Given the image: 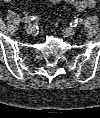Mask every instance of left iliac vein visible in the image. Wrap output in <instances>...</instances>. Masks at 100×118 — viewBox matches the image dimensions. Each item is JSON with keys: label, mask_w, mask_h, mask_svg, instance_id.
<instances>
[{"label": "left iliac vein", "mask_w": 100, "mask_h": 118, "mask_svg": "<svg viewBox=\"0 0 100 118\" xmlns=\"http://www.w3.org/2000/svg\"><path fill=\"white\" fill-rule=\"evenodd\" d=\"M75 34V29L73 27H66L63 30V35L68 37V36H72Z\"/></svg>", "instance_id": "left-iliac-vein-1"}]
</instances>
